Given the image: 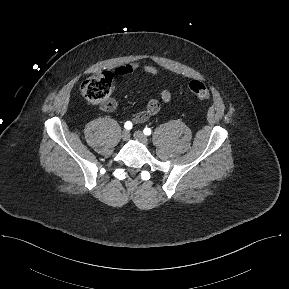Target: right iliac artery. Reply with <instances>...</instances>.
I'll list each match as a JSON object with an SVG mask.
<instances>
[{"instance_id":"1","label":"right iliac artery","mask_w":289,"mask_h":289,"mask_svg":"<svg viewBox=\"0 0 289 289\" xmlns=\"http://www.w3.org/2000/svg\"><path fill=\"white\" fill-rule=\"evenodd\" d=\"M124 127H125L127 130H130V129L132 128V122L127 121V122L124 124Z\"/></svg>"}]
</instances>
